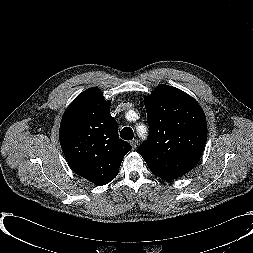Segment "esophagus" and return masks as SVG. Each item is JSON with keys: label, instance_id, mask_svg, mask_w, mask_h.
I'll return each mask as SVG.
<instances>
[{"label": "esophagus", "instance_id": "esophagus-1", "mask_svg": "<svg viewBox=\"0 0 253 253\" xmlns=\"http://www.w3.org/2000/svg\"><path fill=\"white\" fill-rule=\"evenodd\" d=\"M131 146H132L133 150H135L137 148V146H138V140L133 139L131 141Z\"/></svg>", "mask_w": 253, "mask_h": 253}]
</instances>
